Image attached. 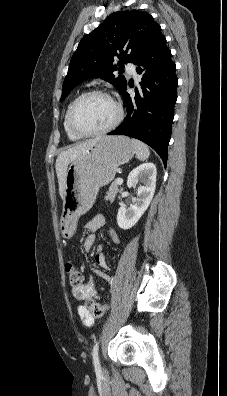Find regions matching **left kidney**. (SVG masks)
<instances>
[{
  "label": "left kidney",
  "mask_w": 227,
  "mask_h": 396,
  "mask_svg": "<svg viewBox=\"0 0 227 396\" xmlns=\"http://www.w3.org/2000/svg\"><path fill=\"white\" fill-rule=\"evenodd\" d=\"M156 166L153 163H144L133 169L127 180L129 188L135 187L140 180L144 186L137 189V201L130 207H120L117 214V224L121 229L132 228L147 210L156 188Z\"/></svg>",
  "instance_id": "left-kidney-1"
}]
</instances>
